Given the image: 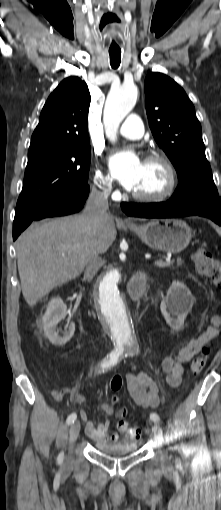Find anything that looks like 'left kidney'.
I'll return each instance as SVG.
<instances>
[{"label":"left kidney","instance_id":"left-kidney-1","mask_svg":"<svg viewBox=\"0 0 221 510\" xmlns=\"http://www.w3.org/2000/svg\"><path fill=\"white\" fill-rule=\"evenodd\" d=\"M194 303L190 290L179 281H174L161 302L160 309L166 323L173 330H180Z\"/></svg>","mask_w":221,"mask_h":510}]
</instances>
